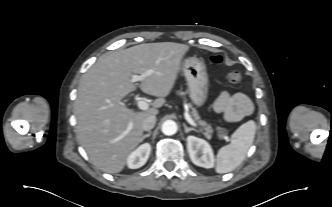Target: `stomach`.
I'll list each match as a JSON object with an SVG mask.
<instances>
[{
	"instance_id": "1",
	"label": "stomach",
	"mask_w": 332,
	"mask_h": 207,
	"mask_svg": "<svg viewBox=\"0 0 332 207\" xmlns=\"http://www.w3.org/2000/svg\"><path fill=\"white\" fill-rule=\"evenodd\" d=\"M182 71L188 84L190 99L197 107H201L207 100L209 80L203 61L196 57L184 60Z\"/></svg>"
}]
</instances>
